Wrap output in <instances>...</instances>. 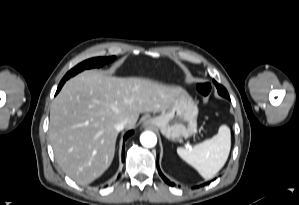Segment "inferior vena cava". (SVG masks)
<instances>
[{
  "instance_id": "602c4592",
  "label": "inferior vena cava",
  "mask_w": 299,
  "mask_h": 205,
  "mask_svg": "<svg viewBox=\"0 0 299 205\" xmlns=\"http://www.w3.org/2000/svg\"><path fill=\"white\" fill-rule=\"evenodd\" d=\"M126 124H127V121H125V120L121 121V122H119L118 124L115 125V129L117 131H121L125 128Z\"/></svg>"
}]
</instances>
